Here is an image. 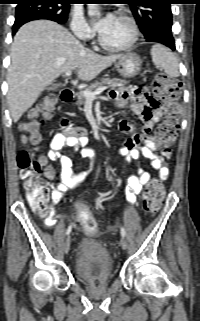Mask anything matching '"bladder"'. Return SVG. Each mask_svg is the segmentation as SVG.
Segmentation results:
<instances>
[{"mask_svg":"<svg viewBox=\"0 0 200 321\" xmlns=\"http://www.w3.org/2000/svg\"><path fill=\"white\" fill-rule=\"evenodd\" d=\"M75 270L83 281L107 279L112 274L113 260L101 243L90 238H83L78 244Z\"/></svg>","mask_w":200,"mask_h":321,"instance_id":"bladder-1","label":"bladder"}]
</instances>
